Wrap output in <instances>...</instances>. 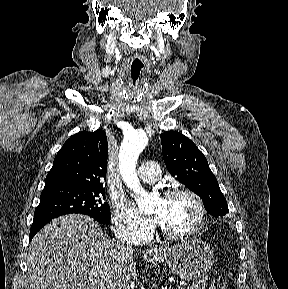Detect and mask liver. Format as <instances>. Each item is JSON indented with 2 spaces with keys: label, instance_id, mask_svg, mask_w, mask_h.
<instances>
[{
  "label": "liver",
  "instance_id": "6515ba94",
  "mask_svg": "<svg viewBox=\"0 0 288 289\" xmlns=\"http://www.w3.org/2000/svg\"><path fill=\"white\" fill-rule=\"evenodd\" d=\"M173 247L143 251L157 265ZM134 250L122 251L100 225L81 214L58 217L32 239L27 257L30 289H134Z\"/></svg>",
  "mask_w": 288,
  "mask_h": 289
}]
</instances>
